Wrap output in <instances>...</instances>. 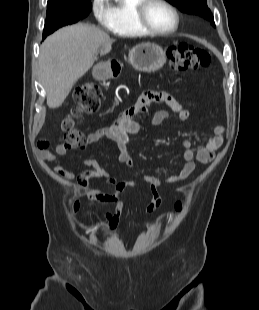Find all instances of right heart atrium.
Masks as SVG:
<instances>
[{
  "mask_svg": "<svg viewBox=\"0 0 259 310\" xmlns=\"http://www.w3.org/2000/svg\"><path fill=\"white\" fill-rule=\"evenodd\" d=\"M91 12L95 21L106 26L110 20L109 0H91Z\"/></svg>",
  "mask_w": 259,
  "mask_h": 310,
  "instance_id": "obj_1",
  "label": "right heart atrium"
}]
</instances>
